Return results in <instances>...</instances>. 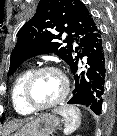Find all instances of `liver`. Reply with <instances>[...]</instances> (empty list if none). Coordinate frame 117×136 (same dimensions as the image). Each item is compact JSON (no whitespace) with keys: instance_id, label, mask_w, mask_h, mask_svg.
I'll list each match as a JSON object with an SVG mask.
<instances>
[{"instance_id":"liver-1","label":"liver","mask_w":117,"mask_h":136,"mask_svg":"<svg viewBox=\"0 0 117 136\" xmlns=\"http://www.w3.org/2000/svg\"><path fill=\"white\" fill-rule=\"evenodd\" d=\"M23 122L20 121H10L5 126L4 135L7 136L13 131L17 130L20 126H22Z\"/></svg>"}]
</instances>
